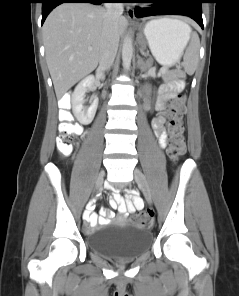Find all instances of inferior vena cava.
Instances as JSON below:
<instances>
[{
  "label": "inferior vena cava",
  "mask_w": 239,
  "mask_h": 296,
  "mask_svg": "<svg viewBox=\"0 0 239 296\" xmlns=\"http://www.w3.org/2000/svg\"><path fill=\"white\" fill-rule=\"evenodd\" d=\"M108 25L104 29L99 53V71L109 70L112 66L119 44L116 21L123 13V3H105Z\"/></svg>",
  "instance_id": "inferior-vena-cava-1"
}]
</instances>
